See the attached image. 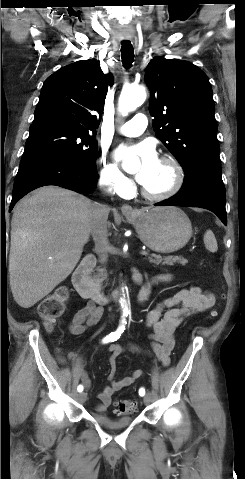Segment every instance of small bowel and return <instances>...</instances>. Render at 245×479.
<instances>
[{
  "label": "small bowel",
  "mask_w": 245,
  "mask_h": 479,
  "mask_svg": "<svg viewBox=\"0 0 245 479\" xmlns=\"http://www.w3.org/2000/svg\"><path fill=\"white\" fill-rule=\"evenodd\" d=\"M167 275H160L153 282H161L167 280ZM151 284L146 285L140 293L139 300L143 303L150 289ZM214 295L197 286L184 288L176 292L174 295L163 299L146 315V325L152 330L150 335L151 349L157 359L163 366L170 364V354L174 348V333L176 329L190 315L203 312L210 308L214 303ZM102 310L93 302H89L86 306L79 309L72 317L68 329L73 335L82 334L88 327L95 325L101 318ZM111 353L109 363V384L104 386L98 394V402L94 406L97 414L104 413L112 402L114 392L134 384L143 376L140 369L133 370L130 375L116 379V358L122 354L123 347L119 344H111L109 346ZM133 350H137L132 347ZM69 359L73 362L78 361L76 354L69 355ZM57 360L65 363L64 357L58 355ZM77 377L86 389L90 388L91 381L85 370L79 368Z\"/></svg>",
  "instance_id": "obj_1"
}]
</instances>
